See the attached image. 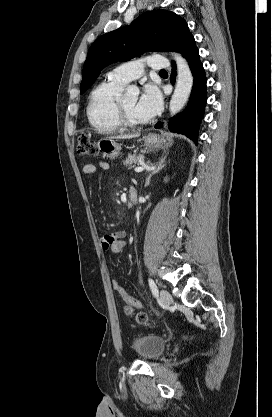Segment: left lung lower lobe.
Instances as JSON below:
<instances>
[{
	"label": "left lung lower lobe",
	"mask_w": 272,
	"mask_h": 417,
	"mask_svg": "<svg viewBox=\"0 0 272 417\" xmlns=\"http://www.w3.org/2000/svg\"><path fill=\"white\" fill-rule=\"evenodd\" d=\"M185 58L189 63L194 77L191 97L185 111L171 118L168 126L172 132L186 135L197 144L199 124L203 118L207 101L206 77L197 47H195ZM174 69H176L175 64ZM170 80L172 84L175 83V71L172 72ZM161 127L162 124L160 122L155 125V128Z\"/></svg>",
	"instance_id": "0a47b994"
}]
</instances>
